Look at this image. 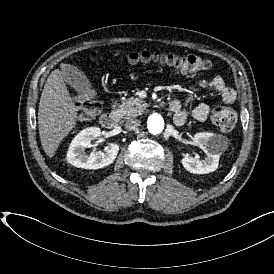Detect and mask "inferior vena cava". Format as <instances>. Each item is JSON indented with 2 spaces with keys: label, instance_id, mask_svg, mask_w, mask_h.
<instances>
[{
  "label": "inferior vena cava",
  "instance_id": "obj_1",
  "mask_svg": "<svg viewBox=\"0 0 274 274\" xmlns=\"http://www.w3.org/2000/svg\"><path fill=\"white\" fill-rule=\"evenodd\" d=\"M140 125H141L140 120L131 118L125 122L124 127L128 131H136L137 129H139Z\"/></svg>",
  "mask_w": 274,
  "mask_h": 274
}]
</instances>
